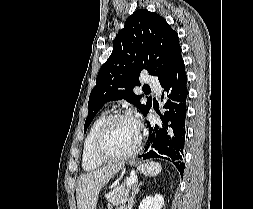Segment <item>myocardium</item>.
I'll list each match as a JSON object with an SVG mask.
<instances>
[{
    "label": "myocardium",
    "instance_id": "myocardium-1",
    "mask_svg": "<svg viewBox=\"0 0 253 209\" xmlns=\"http://www.w3.org/2000/svg\"><path fill=\"white\" fill-rule=\"evenodd\" d=\"M121 119H131V116L127 113H116V114L108 116L106 120L102 123V125L100 126L96 134L94 145H93V155L100 162L111 163V162H122V161L128 160L132 158L133 156H135L139 152L142 146V134H141L140 129H138L137 142L135 146L126 154L121 155V156H109L102 151L103 140L108 128L115 121H118Z\"/></svg>",
    "mask_w": 253,
    "mask_h": 209
}]
</instances>
